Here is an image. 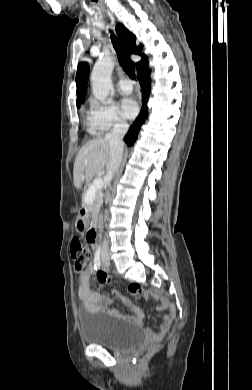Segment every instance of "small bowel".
I'll return each mask as SVG.
<instances>
[{
  "label": "small bowel",
  "mask_w": 252,
  "mask_h": 390,
  "mask_svg": "<svg viewBox=\"0 0 252 390\" xmlns=\"http://www.w3.org/2000/svg\"><path fill=\"white\" fill-rule=\"evenodd\" d=\"M96 273L94 264H91L85 271L81 272L77 277L78 282V296L82 301L84 308L89 312H103L113 318L121 319L133 323H141L144 318V313L138 307L134 306L121 292L118 290H112V294L120 299L123 304L128 308L132 309L135 315H124L119 312L117 309H111L109 306L112 303V300L109 297L102 295L101 293L95 291L91 285L92 276ZM100 287H103L105 284H110L111 279L105 272H101L98 275ZM140 298H145L150 295L148 292L139 291L138 293L133 294ZM154 299L159 303V309L165 311L163 316L162 323L160 325L159 332L155 333L149 331V336L152 339H157L163 334H165L172 323V320L175 316L174 305L165 297L159 294H152Z\"/></svg>",
  "instance_id": "c3829d8e"
}]
</instances>
